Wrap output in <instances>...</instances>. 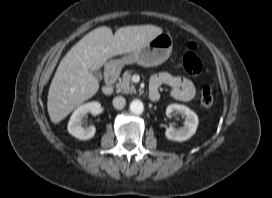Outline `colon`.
Segmentation results:
<instances>
[{"label": "colon", "mask_w": 272, "mask_h": 198, "mask_svg": "<svg viewBox=\"0 0 272 198\" xmlns=\"http://www.w3.org/2000/svg\"><path fill=\"white\" fill-rule=\"evenodd\" d=\"M196 45L189 43L187 45V52L183 56L182 64L185 71L190 75H199L202 71V62L197 56ZM215 102L214 90L210 86L203 88L201 93V104L205 108H211Z\"/></svg>", "instance_id": "5ec220e1"}]
</instances>
